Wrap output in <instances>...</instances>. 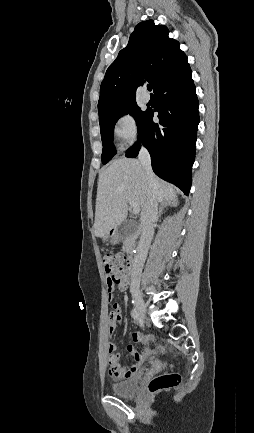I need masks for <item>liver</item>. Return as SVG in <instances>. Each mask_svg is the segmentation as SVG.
Here are the masks:
<instances>
[{"label":"liver","mask_w":254,"mask_h":433,"mask_svg":"<svg viewBox=\"0 0 254 433\" xmlns=\"http://www.w3.org/2000/svg\"><path fill=\"white\" fill-rule=\"evenodd\" d=\"M152 190L157 202L177 201L174 187L155 175ZM149 195L150 189L139 160L121 158L113 161L98 180L95 235L105 237L119 225L127 216L128 203L134 202L143 210Z\"/></svg>","instance_id":"obj_1"}]
</instances>
